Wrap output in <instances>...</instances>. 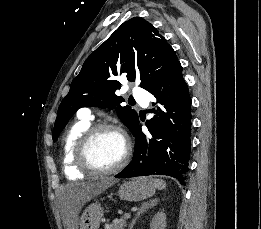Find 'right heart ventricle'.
<instances>
[{"label":"right heart ventricle","instance_id":"obj_1","mask_svg":"<svg viewBox=\"0 0 261 229\" xmlns=\"http://www.w3.org/2000/svg\"><path fill=\"white\" fill-rule=\"evenodd\" d=\"M91 125V119L83 116L82 111L80 110L76 121L65 133L61 142V161L66 173H84V171L77 165L75 148L81 136L91 127Z\"/></svg>","mask_w":261,"mask_h":229}]
</instances>
